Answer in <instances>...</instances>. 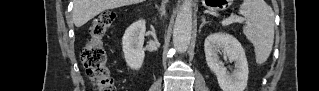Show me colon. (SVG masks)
Instances as JSON below:
<instances>
[{"instance_id": "colon-1", "label": "colon", "mask_w": 319, "mask_h": 91, "mask_svg": "<svg viewBox=\"0 0 319 91\" xmlns=\"http://www.w3.org/2000/svg\"><path fill=\"white\" fill-rule=\"evenodd\" d=\"M113 12L98 15L90 26V37L82 49V61L93 89L97 91H114L115 85L107 66L104 37L114 21Z\"/></svg>"}]
</instances>
